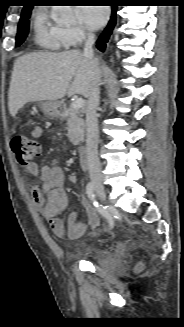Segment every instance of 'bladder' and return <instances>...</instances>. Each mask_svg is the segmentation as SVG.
Segmentation results:
<instances>
[{
  "mask_svg": "<svg viewBox=\"0 0 184 327\" xmlns=\"http://www.w3.org/2000/svg\"><path fill=\"white\" fill-rule=\"evenodd\" d=\"M86 251H87L88 256H90L91 258H94V259L102 258V259L111 260L115 268H121L123 266L122 260L116 259L107 250H105L99 246L90 247Z\"/></svg>",
  "mask_w": 184,
  "mask_h": 327,
  "instance_id": "bladder-1",
  "label": "bladder"
}]
</instances>
